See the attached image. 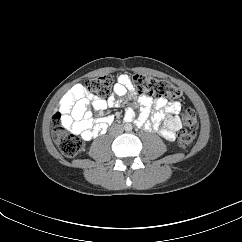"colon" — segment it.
<instances>
[{
	"label": "colon",
	"instance_id": "colon-1",
	"mask_svg": "<svg viewBox=\"0 0 242 242\" xmlns=\"http://www.w3.org/2000/svg\"><path fill=\"white\" fill-rule=\"evenodd\" d=\"M134 87L140 95H152L157 98H169L173 100L182 97V91L170 82L144 74H135ZM113 79L110 75H102L86 82L85 88L100 96H106L111 92ZM183 129L179 132L178 142L181 147H189L195 138L198 127L197 115L193 108H186L181 115ZM53 138L63 155L76 156L83 148L82 140L69 131L63 124L61 112L53 117Z\"/></svg>",
	"mask_w": 242,
	"mask_h": 242
}]
</instances>
